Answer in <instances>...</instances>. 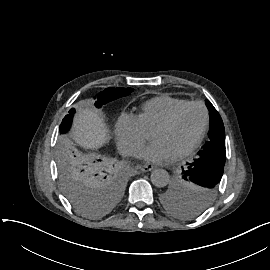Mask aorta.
<instances>
[{"mask_svg": "<svg viewBox=\"0 0 270 270\" xmlns=\"http://www.w3.org/2000/svg\"><path fill=\"white\" fill-rule=\"evenodd\" d=\"M151 182L156 187H164L169 182V174L164 169H155L151 174Z\"/></svg>", "mask_w": 270, "mask_h": 270, "instance_id": "762f6f07", "label": "aorta"}]
</instances>
